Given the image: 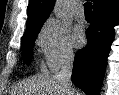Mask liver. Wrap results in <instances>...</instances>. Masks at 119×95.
Masks as SVG:
<instances>
[{"instance_id": "1", "label": "liver", "mask_w": 119, "mask_h": 95, "mask_svg": "<svg viewBox=\"0 0 119 95\" xmlns=\"http://www.w3.org/2000/svg\"><path fill=\"white\" fill-rule=\"evenodd\" d=\"M21 95H70L66 84L56 75H39L19 86ZM73 95H83L73 88Z\"/></svg>"}]
</instances>
